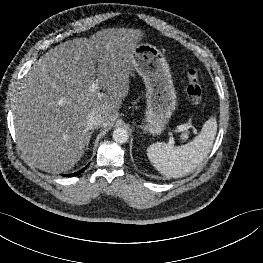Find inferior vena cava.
<instances>
[{"mask_svg":"<svg viewBox=\"0 0 263 263\" xmlns=\"http://www.w3.org/2000/svg\"><path fill=\"white\" fill-rule=\"evenodd\" d=\"M102 123L103 117L100 113L93 112L87 116V126L90 130L99 128L100 126H102Z\"/></svg>","mask_w":263,"mask_h":263,"instance_id":"602c4592","label":"inferior vena cava"}]
</instances>
